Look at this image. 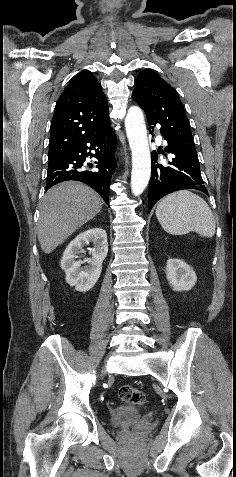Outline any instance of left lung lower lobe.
Masks as SVG:
<instances>
[{"label": "left lung lower lobe", "instance_id": "left-lung-lower-lobe-1", "mask_svg": "<svg viewBox=\"0 0 236 477\" xmlns=\"http://www.w3.org/2000/svg\"><path fill=\"white\" fill-rule=\"evenodd\" d=\"M153 125L149 123V130L154 128ZM165 151L170 154L166 166L158 164L156 151H153L151 156L154 163H152L149 183V212L159 199L178 190L196 189L209 195L201 177L198 156L181 150L169 142ZM158 153L166 155L163 150Z\"/></svg>", "mask_w": 236, "mask_h": 477}]
</instances>
